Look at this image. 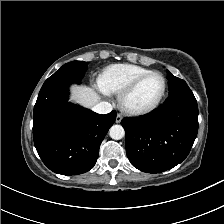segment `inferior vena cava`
I'll list each match as a JSON object with an SVG mask.
<instances>
[{
	"label": "inferior vena cava",
	"instance_id": "602c4592",
	"mask_svg": "<svg viewBox=\"0 0 224 224\" xmlns=\"http://www.w3.org/2000/svg\"><path fill=\"white\" fill-rule=\"evenodd\" d=\"M93 111L98 114H107L112 111V105L109 102H99L93 106Z\"/></svg>",
	"mask_w": 224,
	"mask_h": 224
}]
</instances>
